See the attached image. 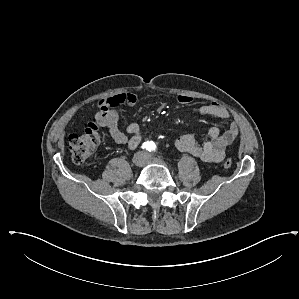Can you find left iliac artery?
I'll return each mask as SVG.
<instances>
[{"label":"left iliac artery","mask_w":299,"mask_h":299,"mask_svg":"<svg viewBox=\"0 0 299 299\" xmlns=\"http://www.w3.org/2000/svg\"><path fill=\"white\" fill-rule=\"evenodd\" d=\"M157 149V146L154 142H150V148H149V151H156Z\"/></svg>","instance_id":"obj_1"}]
</instances>
